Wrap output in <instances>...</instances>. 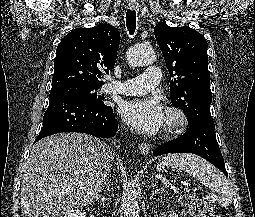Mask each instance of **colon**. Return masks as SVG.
<instances>
[{
	"label": "colon",
	"instance_id": "1",
	"mask_svg": "<svg viewBox=\"0 0 255 217\" xmlns=\"http://www.w3.org/2000/svg\"><path fill=\"white\" fill-rule=\"evenodd\" d=\"M182 203L194 217H221L200 197L186 194L182 197Z\"/></svg>",
	"mask_w": 255,
	"mask_h": 217
}]
</instances>
